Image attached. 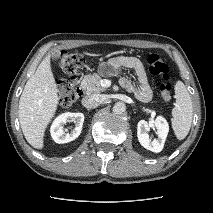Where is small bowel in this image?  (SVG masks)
Masks as SVG:
<instances>
[{
  "label": "small bowel",
  "instance_id": "1",
  "mask_svg": "<svg viewBox=\"0 0 213 213\" xmlns=\"http://www.w3.org/2000/svg\"><path fill=\"white\" fill-rule=\"evenodd\" d=\"M120 68H130L136 75V83L128 78L122 77L120 79L121 86L133 92L139 100L148 101L152 96V91L142 62L139 59L130 56H118L109 61V71H116Z\"/></svg>",
  "mask_w": 213,
  "mask_h": 213
}]
</instances>
